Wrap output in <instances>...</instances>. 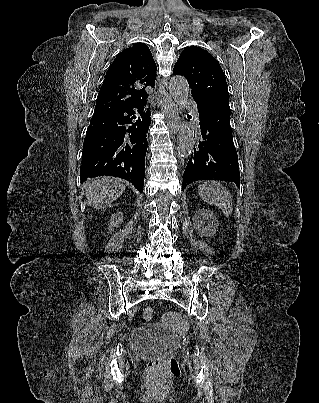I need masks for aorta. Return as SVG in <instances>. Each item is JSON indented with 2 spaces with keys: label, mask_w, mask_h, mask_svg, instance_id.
<instances>
[{
  "label": "aorta",
  "mask_w": 319,
  "mask_h": 403,
  "mask_svg": "<svg viewBox=\"0 0 319 403\" xmlns=\"http://www.w3.org/2000/svg\"><path fill=\"white\" fill-rule=\"evenodd\" d=\"M169 92L180 110L183 109L189 96V85L185 78L174 76L169 81ZM194 133L190 126L182 124L178 133V153L188 157L194 148Z\"/></svg>",
  "instance_id": "aorta-1"
}]
</instances>
